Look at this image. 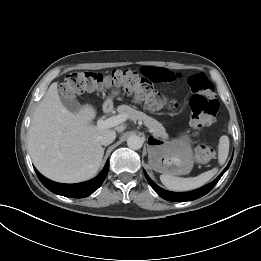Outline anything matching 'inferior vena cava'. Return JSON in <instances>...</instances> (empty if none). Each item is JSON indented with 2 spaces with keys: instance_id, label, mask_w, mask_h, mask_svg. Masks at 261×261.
I'll return each mask as SVG.
<instances>
[{
  "instance_id": "obj_1",
  "label": "inferior vena cava",
  "mask_w": 261,
  "mask_h": 261,
  "mask_svg": "<svg viewBox=\"0 0 261 261\" xmlns=\"http://www.w3.org/2000/svg\"><path fill=\"white\" fill-rule=\"evenodd\" d=\"M116 138V132L114 130H107L99 137L101 145L107 146L111 144Z\"/></svg>"
}]
</instances>
